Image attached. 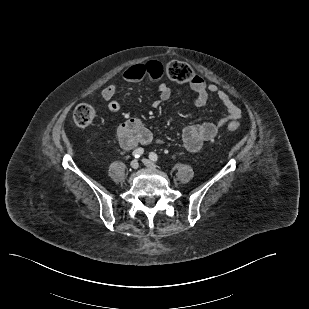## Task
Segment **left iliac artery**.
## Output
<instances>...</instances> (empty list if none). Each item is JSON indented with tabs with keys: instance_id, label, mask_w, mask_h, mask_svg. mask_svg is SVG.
Listing matches in <instances>:
<instances>
[{
	"instance_id": "left-iliac-artery-1",
	"label": "left iliac artery",
	"mask_w": 309,
	"mask_h": 309,
	"mask_svg": "<svg viewBox=\"0 0 309 309\" xmlns=\"http://www.w3.org/2000/svg\"><path fill=\"white\" fill-rule=\"evenodd\" d=\"M149 158H150L152 161H154V162H157V161H158V156H157V154L154 153V152H151V153L149 154Z\"/></svg>"
}]
</instances>
